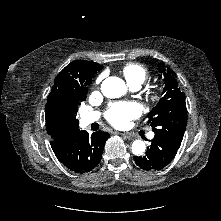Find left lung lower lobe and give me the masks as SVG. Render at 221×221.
<instances>
[{"label":"left lung lower lobe","mask_w":221,"mask_h":221,"mask_svg":"<svg viewBox=\"0 0 221 221\" xmlns=\"http://www.w3.org/2000/svg\"><path fill=\"white\" fill-rule=\"evenodd\" d=\"M180 145V141L155 135L146 154L135 156L134 161L144 170H161L175 157Z\"/></svg>","instance_id":"1"}]
</instances>
